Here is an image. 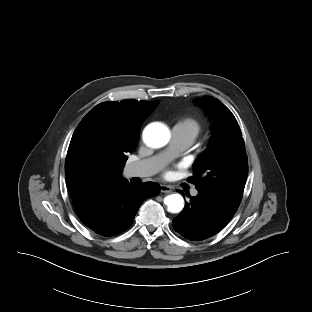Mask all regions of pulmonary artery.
<instances>
[{
    "label": "pulmonary artery",
    "mask_w": 312,
    "mask_h": 312,
    "mask_svg": "<svg viewBox=\"0 0 312 312\" xmlns=\"http://www.w3.org/2000/svg\"><path fill=\"white\" fill-rule=\"evenodd\" d=\"M192 141L177 129L173 128L172 138L168 149L152 158L135 162L129 166V175L135 177H148L158 172L165 161L172 155L187 149ZM191 194L196 196L198 191L192 190Z\"/></svg>",
    "instance_id": "obj_1"
}]
</instances>
